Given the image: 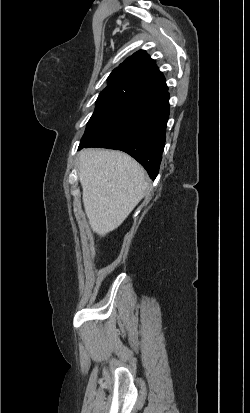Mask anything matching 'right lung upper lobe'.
Instances as JSON below:
<instances>
[{
    "label": "right lung upper lobe",
    "instance_id": "cb5924a9",
    "mask_svg": "<svg viewBox=\"0 0 250 413\" xmlns=\"http://www.w3.org/2000/svg\"><path fill=\"white\" fill-rule=\"evenodd\" d=\"M105 89L134 92L140 97L164 92L168 88L155 61L140 50L112 71Z\"/></svg>",
    "mask_w": 250,
    "mask_h": 413
}]
</instances>
